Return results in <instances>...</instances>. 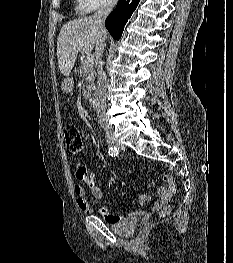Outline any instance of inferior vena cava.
I'll return each mask as SVG.
<instances>
[{
  "mask_svg": "<svg viewBox=\"0 0 233 263\" xmlns=\"http://www.w3.org/2000/svg\"><path fill=\"white\" fill-rule=\"evenodd\" d=\"M117 0H105L104 3L94 14L93 21L98 29L99 37L98 42L96 43L95 56L97 64V88H96V97H97V117L99 122L105 130L109 129L105 118V108H106V75L103 71L101 57L102 52L105 48V38H106V29L104 26V21L107 16L110 14L114 6L116 5Z\"/></svg>",
  "mask_w": 233,
  "mask_h": 263,
  "instance_id": "obj_1",
  "label": "inferior vena cava"
}]
</instances>
